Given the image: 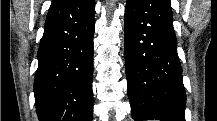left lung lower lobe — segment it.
<instances>
[{
    "instance_id": "obj_1",
    "label": "left lung lower lobe",
    "mask_w": 217,
    "mask_h": 121,
    "mask_svg": "<svg viewBox=\"0 0 217 121\" xmlns=\"http://www.w3.org/2000/svg\"><path fill=\"white\" fill-rule=\"evenodd\" d=\"M124 41L132 117L185 121L186 94L170 0H127Z\"/></svg>"
}]
</instances>
